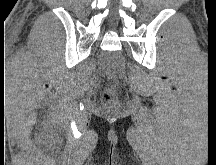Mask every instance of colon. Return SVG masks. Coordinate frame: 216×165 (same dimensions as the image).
Listing matches in <instances>:
<instances>
[{"label": "colon", "instance_id": "colon-1", "mask_svg": "<svg viewBox=\"0 0 216 165\" xmlns=\"http://www.w3.org/2000/svg\"><path fill=\"white\" fill-rule=\"evenodd\" d=\"M115 96H114V92L113 89H108L106 90L105 94H104V100L107 103H110L114 100Z\"/></svg>", "mask_w": 216, "mask_h": 165}]
</instances>
